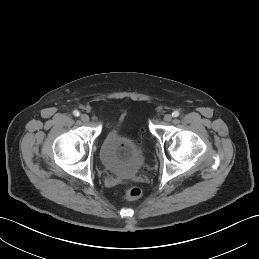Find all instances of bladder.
I'll list each match as a JSON object with an SVG mask.
<instances>
[{
  "mask_svg": "<svg viewBox=\"0 0 259 259\" xmlns=\"http://www.w3.org/2000/svg\"><path fill=\"white\" fill-rule=\"evenodd\" d=\"M99 158L108 171L124 178L136 175L144 165L143 152L132 138L121 132L119 123L103 138Z\"/></svg>",
  "mask_w": 259,
  "mask_h": 259,
  "instance_id": "31cf9c89",
  "label": "bladder"
}]
</instances>
